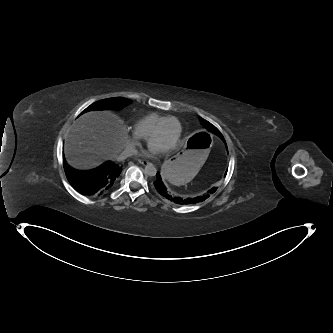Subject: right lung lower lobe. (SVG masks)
Returning a JSON list of instances; mask_svg holds the SVG:
<instances>
[{
	"instance_id": "1",
	"label": "right lung lower lobe",
	"mask_w": 333,
	"mask_h": 333,
	"mask_svg": "<svg viewBox=\"0 0 333 333\" xmlns=\"http://www.w3.org/2000/svg\"><path fill=\"white\" fill-rule=\"evenodd\" d=\"M64 169L70 184L79 193L92 196L108 192L117 182L122 166L107 161L95 169L80 171L73 169L64 161Z\"/></svg>"
}]
</instances>
